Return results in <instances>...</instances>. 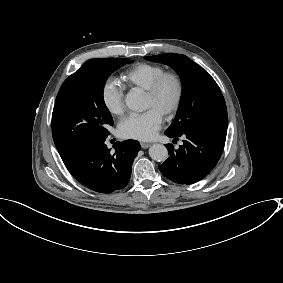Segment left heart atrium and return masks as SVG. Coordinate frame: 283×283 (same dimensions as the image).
<instances>
[{
  "label": "left heart atrium",
  "mask_w": 283,
  "mask_h": 283,
  "mask_svg": "<svg viewBox=\"0 0 283 283\" xmlns=\"http://www.w3.org/2000/svg\"><path fill=\"white\" fill-rule=\"evenodd\" d=\"M163 123V113L148 108L139 114H130L118 127V134L123 138L150 140L154 138Z\"/></svg>",
  "instance_id": "obj_1"
}]
</instances>
